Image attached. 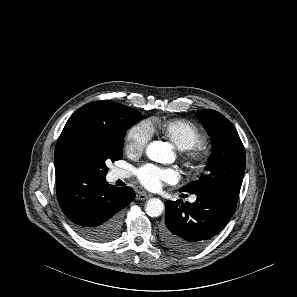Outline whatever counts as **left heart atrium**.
Listing matches in <instances>:
<instances>
[{"label": "left heart atrium", "mask_w": 297, "mask_h": 297, "mask_svg": "<svg viewBox=\"0 0 297 297\" xmlns=\"http://www.w3.org/2000/svg\"><path fill=\"white\" fill-rule=\"evenodd\" d=\"M140 183L150 190H156L163 183H174L179 179V172L172 168H159L146 164L136 171Z\"/></svg>", "instance_id": "39dd6f15"}]
</instances>
